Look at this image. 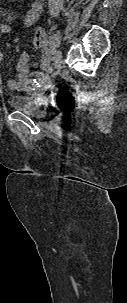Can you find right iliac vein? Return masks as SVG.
Listing matches in <instances>:
<instances>
[{
    "instance_id": "right-iliac-vein-1",
    "label": "right iliac vein",
    "mask_w": 127,
    "mask_h": 303,
    "mask_svg": "<svg viewBox=\"0 0 127 303\" xmlns=\"http://www.w3.org/2000/svg\"><path fill=\"white\" fill-rule=\"evenodd\" d=\"M62 61V53L60 51L57 52L55 58H54V66L58 67Z\"/></svg>"
}]
</instances>
